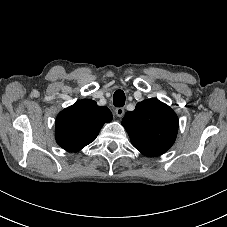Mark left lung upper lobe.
<instances>
[{
    "mask_svg": "<svg viewBox=\"0 0 227 227\" xmlns=\"http://www.w3.org/2000/svg\"><path fill=\"white\" fill-rule=\"evenodd\" d=\"M122 125L138 151L145 156L155 157L173 145L178 118L169 106L152 98L139 102L134 111L126 112Z\"/></svg>",
    "mask_w": 227,
    "mask_h": 227,
    "instance_id": "obj_1",
    "label": "left lung upper lobe"
}]
</instances>
